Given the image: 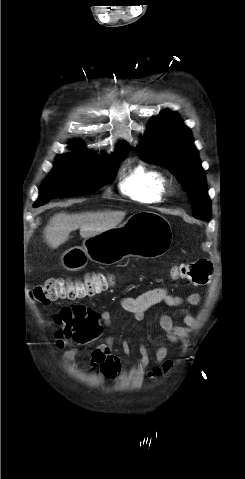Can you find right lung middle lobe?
Listing matches in <instances>:
<instances>
[{"mask_svg": "<svg viewBox=\"0 0 245 479\" xmlns=\"http://www.w3.org/2000/svg\"><path fill=\"white\" fill-rule=\"evenodd\" d=\"M72 148H78L72 145ZM128 154L115 152L107 158H96L83 149L60 155L56 165L40 188L34 207H39L53 198L89 194L110 182L118 166Z\"/></svg>", "mask_w": 245, "mask_h": 479, "instance_id": "obj_1", "label": "right lung middle lobe"}]
</instances>
